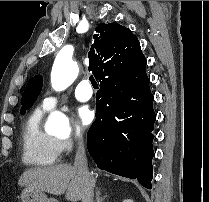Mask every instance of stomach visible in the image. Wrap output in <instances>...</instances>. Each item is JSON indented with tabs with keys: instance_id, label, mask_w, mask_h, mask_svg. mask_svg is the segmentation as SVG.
Returning a JSON list of instances; mask_svg holds the SVG:
<instances>
[{
	"instance_id": "obj_1",
	"label": "stomach",
	"mask_w": 209,
	"mask_h": 202,
	"mask_svg": "<svg viewBox=\"0 0 209 202\" xmlns=\"http://www.w3.org/2000/svg\"><path fill=\"white\" fill-rule=\"evenodd\" d=\"M21 201L22 202H58L54 198H48L43 191L30 187H25L22 190Z\"/></svg>"
}]
</instances>
